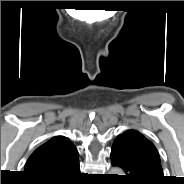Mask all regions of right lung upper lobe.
<instances>
[{"label":"right lung upper lobe","mask_w":184,"mask_h":184,"mask_svg":"<svg viewBox=\"0 0 184 184\" xmlns=\"http://www.w3.org/2000/svg\"><path fill=\"white\" fill-rule=\"evenodd\" d=\"M76 159L78 152L74 144L66 137L55 136L32 153L26 162L25 172L33 180L51 178Z\"/></svg>","instance_id":"right-lung-upper-lobe-1"}]
</instances>
